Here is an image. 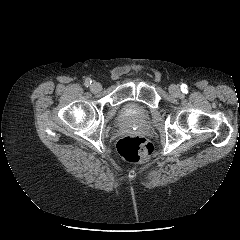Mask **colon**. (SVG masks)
Instances as JSON below:
<instances>
[{"mask_svg":"<svg viewBox=\"0 0 240 240\" xmlns=\"http://www.w3.org/2000/svg\"><path fill=\"white\" fill-rule=\"evenodd\" d=\"M119 154L127 161L140 162L148 160L153 154V145L140 136H124L116 144Z\"/></svg>","mask_w":240,"mask_h":240,"instance_id":"obj_1","label":"colon"}]
</instances>
